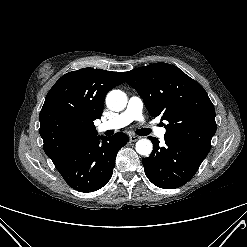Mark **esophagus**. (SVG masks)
Here are the masks:
<instances>
[{
  "mask_svg": "<svg viewBox=\"0 0 247 247\" xmlns=\"http://www.w3.org/2000/svg\"><path fill=\"white\" fill-rule=\"evenodd\" d=\"M129 139H130L131 142H135V141H137L138 139H140V137L137 136V135H135V134H131V135L129 136Z\"/></svg>",
  "mask_w": 247,
  "mask_h": 247,
  "instance_id": "obj_1",
  "label": "esophagus"
}]
</instances>
